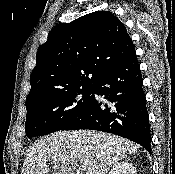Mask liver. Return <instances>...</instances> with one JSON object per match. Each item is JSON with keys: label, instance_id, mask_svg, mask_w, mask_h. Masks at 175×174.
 Wrapping results in <instances>:
<instances>
[{"label": "liver", "instance_id": "6515ba94", "mask_svg": "<svg viewBox=\"0 0 175 174\" xmlns=\"http://www.w3.org/2000/svg\"><path fill=\"white\" fill-rule=\"evenodd\" d=\"M139 146L125 138L100 131H59L35 142L28 150L21 174H76L77 163L86 174H107L109 169Z\"/></svg>", "mask_w": 175, "mask_h": 174}]
</instances>
